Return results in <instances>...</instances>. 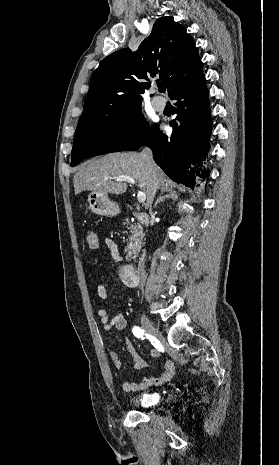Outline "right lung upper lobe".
Segmentation results:
<instances>
[{
  "label": "right lung upper lobe",
  "mask_w": 279,
  "mask_h": 465,
  "mask_svg": "<svg viewBox=\"0 0 279 465\" xmlns=\"http://www.w3.org/2000/svg\"><path fill=\"white\" fill-rule=\"evenodd\" d=\"M193 38L173 17L159 18L136 52L121 49L105 57L93 72L78 125L91 123L110 111L141 106V94L158 76L172 95L203 73Z\"/></svg>",
  "instance_id": "1"
}]
</instances>
